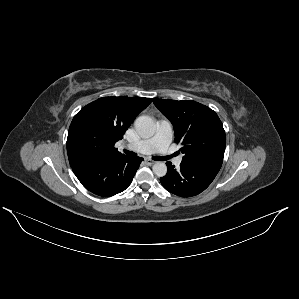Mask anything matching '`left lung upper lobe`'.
I'll return each instance as SVG.
<instances>
[{
	"instance_id": "obj_1",
	"label": "left lung upper lobe",
	"mask_w": 299,
	"mask_h": 299,
	"mask_svg": "<svg viewBox=\"0 0 299 299\" xmlns=\"http://www.w3.org/2000/svg\"><path fill=\"white\" fill-rule=\"evenodd\" d=\"M153 103L173 124L175 142L182 144V160L223 161L226 136L215 111L193 100L153 99Z\"/></svg>"
}]
</instances>
